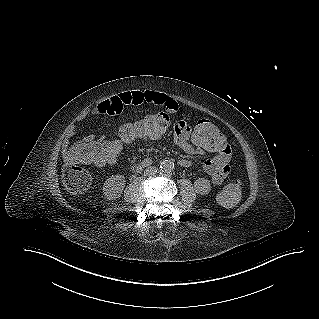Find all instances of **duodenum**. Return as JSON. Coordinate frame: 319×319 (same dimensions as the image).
Here are the masks:
<instances>
[{
    "mask_svg": "<svg viewBox=\"0 0 319 319\" xmlns=\"http://www.w3.org/2000/svg\"><path fill=\"white\" fill-rule=\"evenodd\" d=\"M137 169L140 171V170H142V169H143V166H142V165H140V166H138V167H137Z\"/></svg>",
    "mask_w": 319,
    "mask_h": 319,
    "instance_id": "obj_1",
    "label": "duodenum"
}]
</instances>
